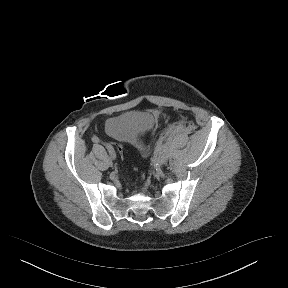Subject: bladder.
Returning a JSON list of instances; mask_svg holds the SVG:
<instances>
[{"label":"bladder","mask_w":288,"mask_h":288,"mask_svg":"<svg viewBox=\"0 0 288 288\" xmlns=\"http://www.w3.org/2000/svg\"><path fill=\"white\" fill-rule=\"evenodd\" d=\"M155 124L156 117L150 112H129L109 120L105 125V130L113 137L135 141L142 134L150 131Z\"/></svg>","instance_id":"1"}]
</instances>
